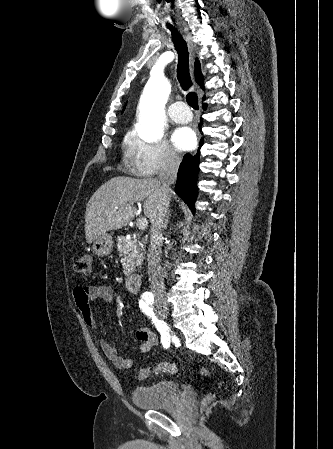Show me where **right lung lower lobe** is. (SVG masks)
<instances>
[{"label": "right lung lower lobe", "mask_w": 333, "mask_h": 449, "mask_svg": "<svg viewBox=\"0 0 333 449\" xmlns=\"http://www.w3.org/2000/svg\"><path fill=\"white\" fill-rule=\"evenodd\" d=\"M203 109H206V104H203ZM202 121L199 124L201 130ZM203 145L200 141V147ZM200 153L196 155L186 154L180 164L177 183L175 186L176 193L183 199L189 208L195 212L194 202L197 196L196 181L199 172Z\"/></svg>", "instance_id": "1"}]
</instances>
